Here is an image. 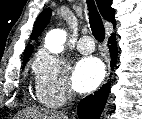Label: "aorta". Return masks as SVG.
<instances>
[{
	"label": "aorta",
	"mask_w": 142,
	"mask_h": 119,
	"mask_svg": "<svg viewBox=\"0 0 142 119\" xmlns=\"http://www.w3.org/2000/svg\"><path fill=\"white\" fill-rule=\"evenodd\" d=\"M66 41V32L61 29L51 30L45 38V47L49 52L58 54L63 51V44Z\"/></svg>",
	"instance_id": "aorta-1"
}]
</instances>
